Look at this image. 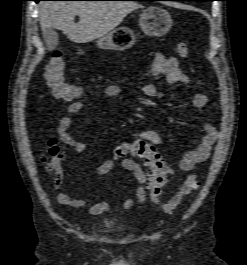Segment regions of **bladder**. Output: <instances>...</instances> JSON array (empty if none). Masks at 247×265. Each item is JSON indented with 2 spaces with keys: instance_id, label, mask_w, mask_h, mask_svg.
<instances>
[{
  "instance_id": "obj_1",
  "label": "bladder",
  "mask_w": 247,
  "mask_h": 265,
  "mask_svg": "<svg viewBox=\"0 0 247 265\" xmlns=\"http://www.w3.org/2000/svg\"><path fill=\"white\" fill-rule=\"evenodd\" d=\"M117 226V220L116 219H107L104 224L103 227L106 230H112Z\"/></svg>"
}]
</instances>
